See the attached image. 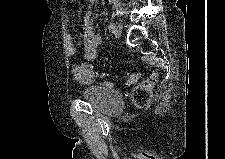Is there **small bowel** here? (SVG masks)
Returning <instances> with one entry per match:
<instances>
[{
	"label": "small bowel",
	"mask_w": 225,
	"mask_h": 159,
	"mask_svg": "<svg viewBox=\"0 0 225 159\" xmlns=\"http://www.w3.org/2000/svg\"><path fill=\"white\" fill-rule=\"evenodd\" d=\"M92 4L95 0H88ZM101 43L100 37L94 27L91 13L88 12L84 20L83 53L84 62H72L71 72L82 84H89L95 78V67L93 61L99 57L98 47ZM67 53L70 57L76 54V45L73 37L66 36Z\"/></svg>",
	"instance_id": "1"
}]
</instances>
